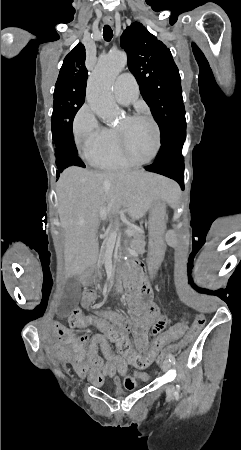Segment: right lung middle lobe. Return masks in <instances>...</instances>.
<instances>
[{
    "label": "right lung middle lobe",
    "mask_w": 241,
    "mask_h": 450,
    "mask_svg": "<svg viewBox=\"0 0 241 450\" xmlns=\"http://www.w3.org/2000/svg\"><path fill=\"white\" fill-rule=\"evenodd\" d=\"M85 91V85L71 82L55 85L51 123L56 145L57 175L70 166L65 156L70 144L68 137L72 131L73 119L85 101Z\"/></svg>",
    "instance_id": "obj_1"
}]
</instances>
